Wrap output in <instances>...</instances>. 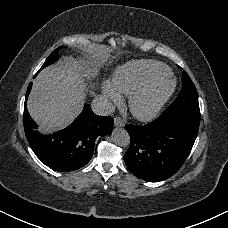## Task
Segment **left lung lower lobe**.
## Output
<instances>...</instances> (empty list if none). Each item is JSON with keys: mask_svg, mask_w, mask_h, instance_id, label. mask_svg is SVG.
Masks as SVG:
<instances>
[{"mask_svg": "<svg viewBox=\"0 0 228 228\" xmlns=\"http://www.w3.org/2000/svg\"><path fill=\"white\" fill-rule=\"evenodd\" d=\"M130 145L124 155L136 177L158 182L174 175L187 159L196 140L199 122L156 120L144 126L126 125Z\"/></svg>", "mask_w": 228, "mask_h": 228, "instance_id": "left-lung-lower-lobe-1", "label": "left lung lower lobe"}]
</instances>
